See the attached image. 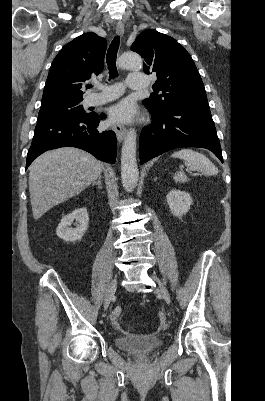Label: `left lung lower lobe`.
Masks as SVG:
<instances>
[{
	"instance_id": "1",
	"label": "left lung lower lobe",
	"mask_w": 265,
	"mask_h": 401,
	"mask_svg": "<svg viewBox=\"0 0 265 401\" xmlns=\"http://www.w3.org/2000/svg\"><path fill=\"white\" fill-rule=\"evenodd\" d=\"M154 120L140 135V163L180 147L212 151L223 162L208 105L184 104L162 112L150 110Z\"/></svg>"
}]
</instances>
